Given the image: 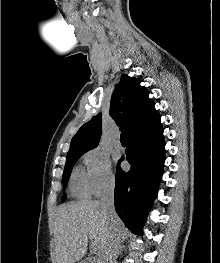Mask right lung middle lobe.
Here are the masks:
<instances>
[{
    "mask_svg": "<svg viewBox=\"0 0 220 263\" xmlns=\"http://www.w3.org/2000/svg\"><path fill=\"white\" fill-rule=\"evenodd\" d=\"M84 153H73V154H68L66 158V164L64 168V173H63V183L64 185L67 184V181L70 177L72 168L75 164V162L83 155ZM66 199V195L63 196L62 201Z\"/></svg>",
    "mask_w": 220,
    "mask_h": 263,
    "instance_id": "right-lung-middle-lobe-1",
    "label": "right lung middle lobe"
}]
</instances>
